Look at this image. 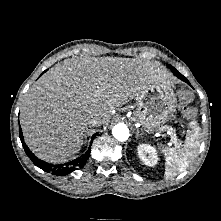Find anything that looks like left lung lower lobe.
Segmentation results:
<instances>
[{
	"label": "left lung lower lobe",
	"instance_id": "0a47b994",
	"mask_svg": "<svg viewBox=\"0 0 221 221\" xmlns=\"http://www.w3.org/2000/svg\"><path fill=\"white\" fill-rule=\"evenodd\" d=\"M174 74H175L179 79L183 80L184 82H186V83H188V84L190 85L189 81H188L182 74H180L179 72H174Z\"/></svg>",
	"mask_w": 221,
	"mask_h": 221
}]
</instances>
